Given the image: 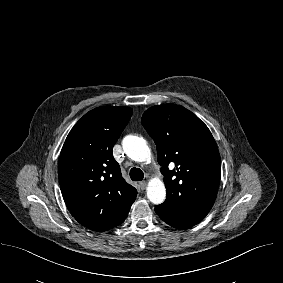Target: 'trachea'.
<instances>
[{"label": "trachea", "instance_id": "trachea-1", "mask_svg": "<svg viewBox=\"0 0 283 283\" xmlns=\"http://www.w3.org/2000/svg\"><path fill=\"white\" fill-rule=\"evenodd\" d=\"M130 178L133 181H141L144 178V173L141 169L133 167L130 170Z\"/></svg>", "mask_w": 283, "mask_h": 283}]
</instances>
